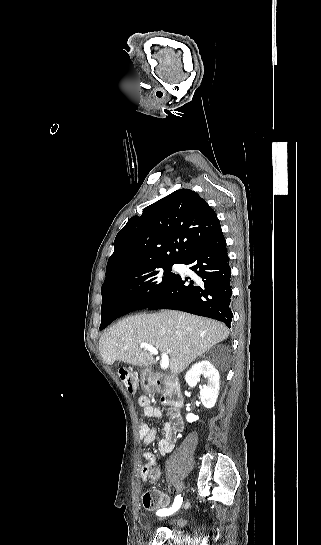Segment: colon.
I'll return each mask as SVG.
<instances>
[{"label": "colon", "mask_w": 321, "mask_h": 545, "mask_svg": "<svg viewBox=\"0 0 321 545\" xmlns=\"http://www.w3.org/2000/svg\"><path fill=\"white\" fill-rule=\"evenodd\" d=\"M118 375L128 391L134 393L136 391V380L133 374L126 368H120ZM142 503L149 510H164L170 506L171 500L163 493L153 490L144 492Z\"/></svg>", "instance_id": "obj_1"}]
</instances>
